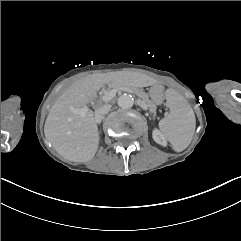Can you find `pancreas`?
I'll return each mask as SVG.
<instances>
[{
    "label": "pancreas",
    "instance_id": "obj_1",
    "mask_svg": "<svg viewBox=\"0 0 241 241\" xmlns=\"http://www.w3.org/2000/svg\"><path fill=\"white\" fill-rule=\"evenodd\" d=\"M113 88H124V89H129L131 91H133L134 94L138 95V97H140L144 103L148 104V106H153V101L149 100V98L146 96V94H144L143 92L140 91L139 88L137 87H133V86H127V85H120V84H117L116 86H114ZM108 92L111 91V86H109Z\"/></svg>",
    "mask_w": 241,
    "mask_h": 241
}]
</instances>
